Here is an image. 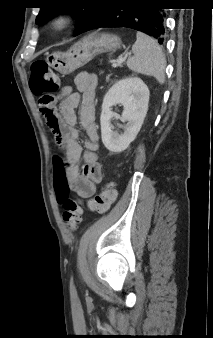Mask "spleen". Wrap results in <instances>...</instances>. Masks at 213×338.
<instances>
[{"mask_svg":"<svg viewBox=\"0 0 213 338\" xmlns=\"http://www.w3.org/2000/svg\"><path fill=\"white\" fill-rule=\"evenodd\" d=\"M132 52L133 56L127 60L130 70L152 76L160 84L164 83L166 59L161 47L153 38L137 32Z\"/></svg>","mask_w":213,"mask_h":338,"instance_id":"1","label":"spleen"}]
</instances>
